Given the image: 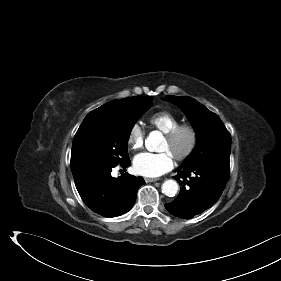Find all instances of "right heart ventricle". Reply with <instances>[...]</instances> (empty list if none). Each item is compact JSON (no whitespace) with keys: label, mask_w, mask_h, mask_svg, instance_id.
<instances>
[{"label":"right heart ventricle","mask_w":281,"mask_h":281,"mask_svg":"<svg viewBox=\"0 0 281 281\" xmlns=\"http://www.w3.org/2000/svg\"><path fill=\"white\" fill-rule=\"evenodd\" d=\"M148 121L153 128L164 134L180 124V119L169 111L156 112L149 117Z\"/></svg>","instance_id":"right-heart-ventricle-1"}]
</instances>
